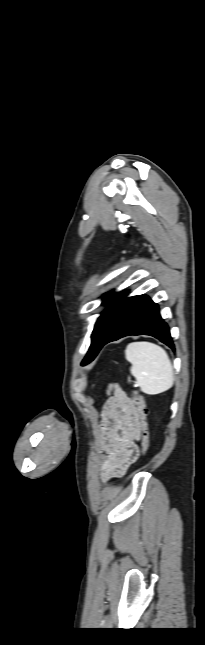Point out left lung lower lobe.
<instances>
[{
  "label": "left lung lower lobe",
  "instance_id": "left-lung-lower-lobe-1",
  "mask_svg": "<svg viewBox=\"0 0 205 645\" xmlns=\"http://www.w3.org/2000/svg\"><path fill=\"white\" fill-rule=\"evenodd\" d=\"M118 295L112 306L109 325L100 349L111 341L129 335H149L175 350L169 327L159 313V307L148 296L125 298ZM100 351V350H99Z\"/></svg>",
  "mask_w": 205,
  "mask_h": 645
}]
</instances>
